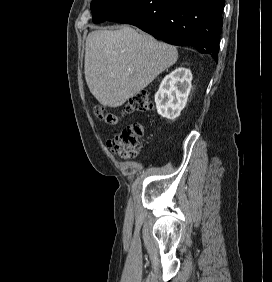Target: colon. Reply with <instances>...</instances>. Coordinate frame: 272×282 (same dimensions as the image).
<instances>
[{
	"mask_svg": "<svg viewBox=\"0 0 272 282\" xmlns=\"http://www.w3.org/2000/svg\"><path fill=\"white\" fill-rule=\"evenodd\" d=\"M153 103L148 94L137 93L131 97L123 106L120 115L106 110L104 107L95 108L96 115L106 123L116 125L121 122L126 115L135 112H148L152 110ZM145 128L140 123L126 125L119 131L115 132L108 140L107 147L109 150L123 159H132L138 155L140 149V140L143 137Z\"/></svg>",
	"mask_w": 272,
	"mask_h": 282,
	"instance_id": "colon-1",
	"label": "colon"
}]
</instances>
